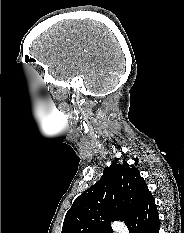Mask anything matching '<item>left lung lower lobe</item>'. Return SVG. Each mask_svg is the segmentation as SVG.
I'll list each match as a JSON object with an SVG mask.
<instances>
[{
  "mask_svg": "<svg viewBox=\"0 0 184 233\" xmlns=\"http://www.w3.org/2000/svg\"><path fill=\"white\" fill-rule=\"evenodd\" d=\"M126 226L129 233H159L158 211L150 191L143 197Z\"/></svg>",
  "mask_w": 184,
  "mask_h": 233,
  "instance_id": "1",
  "label": "left lung lower lobe"
}]
</instances>
